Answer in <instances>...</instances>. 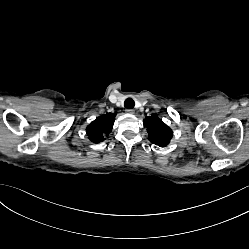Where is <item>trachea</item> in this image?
Listing matches in <instances>:
<instances>
[{"instance_id":"1","label":"trachea","mask_w":249,"mask_h":249,"mask_svg":"<svg viewBox=\"0 0 249 249\" xmlns=\"http://www.w3.org/2000/svg\"><path fill=\"white\" fill-rule=\"evenodd\" d=\"M134 106H135V102H134L133 99L127 98V99L125 100V102H124V107H125V108H130V109H132Z\"/></svg>"}]
</instances>
